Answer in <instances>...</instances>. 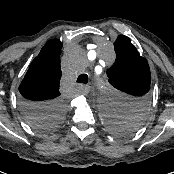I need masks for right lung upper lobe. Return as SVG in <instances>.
Masks as SVG:
<instances>
[{
  "mask_svg": "<svg viewBox=\"0 0 174 174\" xmlns=\"http://www.w3.org/2000/svg\"><path fill=\"white\" fill-rule=\"evenodd\" d=\"M61 48L60 40L52 39L43 46L32 61L19 86L23 101L47 104L60 102Z\"/></svg>",
  "mask_w": 174,
  "mask_h": 174,
  "instance_id": "right-lung-upper-lobe-1",
  "label": "right lung upper lobe"
}]
</instances>
